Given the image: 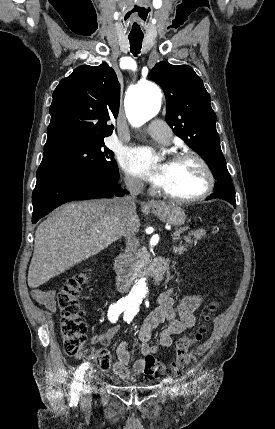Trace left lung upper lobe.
Wrapping results in <instances>:
<instances>
[{"mask_svg":"<svg viewBox=\"0 0 275 429\" xmlns=\"http://www.w3.org/2000/svg\"><path fill=\"white\" fill-rule=\"evenodd\" d=\"M150 76L165 93L168 125L207 162L217 180L214 191L235 198L216 131V114L201 78L188 65H171L164 61L155 65Z\"/></svg>","mask_w":275,"mask_h":429,"instance_id":"5c2ea615","label":"left lung upper lobe"}]
</instances>
